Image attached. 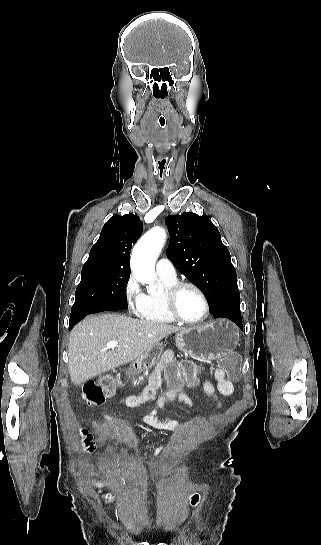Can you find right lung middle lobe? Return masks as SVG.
<instances>
[{"label":"right lung middle lobe","instance_id":"1","mask_svg":"<svg viewBox=\"0 0 321 545\" xmlns=\"http://www.w3.org/2000/svg\"><path fill=\"white\" fill-rule=\"evenodd\" d=\"M129 277L130 272L82 269L81 281L75 292V303L70 317L106 311L116 302L126 300Z\"/></svg>","mask_w":321,"mask_h":545}]
</instances>
